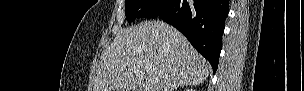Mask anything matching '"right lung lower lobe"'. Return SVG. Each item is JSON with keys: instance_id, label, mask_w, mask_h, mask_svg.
I'll list each match as a JSON object with an SVG mask.
<instances>
[{"instance_id": "right-lung-lower-lobe-1", "label": "right lung lower lobe", "mask_w": 304, "mask_h": 91, "mask_svg": "<svg viewBox=\"0 0 304 91\" xmlns=\"http://www.w3.org/2000/svg\"><path fill=\"white\" fill-rule=\"evenodd\" d=\"M228 0H170L158 17L177 28L212 65L218 68Z\"/></svg>"}]
</instances>
